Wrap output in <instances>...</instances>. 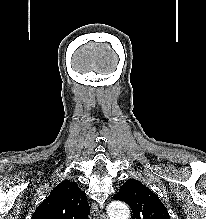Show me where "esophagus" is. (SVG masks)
Instances as JSON below:
<instances>
[{"label":"esophagus","mask_w":206,"mask_h":219,"mask_svg":"<svg viewBox=\"0 0 206 219\" xmlns=\"http://www.w3.org/2000/svg\"><path fill=\"white\" fill-rule=\"evenodd\" d=\"M91 211L93 215V219H108L106 215H104L98 208L96 203H92Z\"/></svg>","instance_id":"esophagus-1"}]
</instances>
